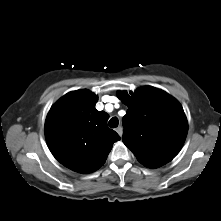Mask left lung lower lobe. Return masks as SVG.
Returning <instances> with one entry per match:
<instances>
[{
    "mask_svg": "<svg viewBox=\"0 0 221 221\" xmlns=\"http://www.w3.org/2000/svg\"><path fill=\"white\" fill-rule=\"evenodd\" d=\"M157 167H160V166H156V167H152V168H157Z\"/></svg>",
    "mask_w": 221,
    "mask_h": 221,
    "instance_id": "left-lung-lower-lobe-1",
    "label": "left lung lower lobe"
}]
</instances>
